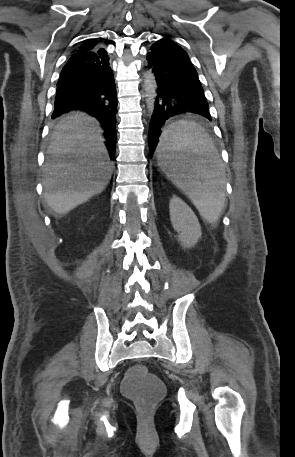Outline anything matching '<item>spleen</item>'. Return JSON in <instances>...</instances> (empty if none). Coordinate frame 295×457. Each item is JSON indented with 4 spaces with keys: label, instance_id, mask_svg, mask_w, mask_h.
Returning a JSON list of instances; mask_svg holds the SVG:
<instances>
[{
    "label": "spleen",
    "instance_id": "3e777b00",
    "mask_svg": "<svg viewBox=\"0 0 295 457\" xmlns=\"http://www.w3.org/2000/svg\"><path fill=\"white\" fill-rule=\"evenodd\" d=\"M199 153L207 158L196 157ZM214 153L210 136L189 120L167 126L157 148L160 167L209 223L218 220L225 203V178Z\"/></svg>",
    "mask_w": 295,
    "mask_h": 457
}]
</instances>
